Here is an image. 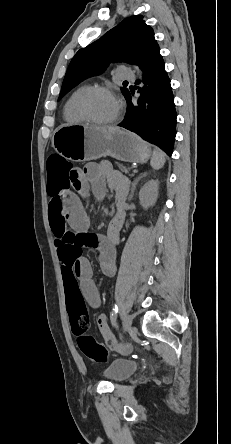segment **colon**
Here are the masks:
<instances>
[{
    "mask_svg": "<svg viewBox=\"0 0 231 444\" xmlns=\"http://www.w3.org/2000/svg\"><path fill=\"white\" fill-rule=\"evenodd\" d=\"M48 193L53 203L60 202L62 194L70 188L71 179L78 176V170L59 155H51L47 160ZM67 308L73 333L83 354L92 362L102 363L107 359V348L88 334L90 317L83 297L76 292L66 294ZM108 347H118L115 341H108Z\"/></svg>",
    "mask_w": 231,
    "mask_h": 444,
    "instance_id": "1",
    "label": "colon"
}]
</instances>
